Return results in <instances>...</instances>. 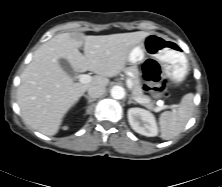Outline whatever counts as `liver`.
Here are the masks:
<instances>
[{"instance_id":"liver-1","label":"liver","mask_w":222,"mask_h":187,"mask_svg":"<svg viewBox=\"0 0 222 187\" xmlns=\"http://www.w3.org/2000/svg\"><path fill=\"white\" fill-rule=\"evenodd\" d=\"M150 33L144 31L92 36L62 33L42 44L21 75L17 103L24 122L48 136L58 133L63 117L89 87L107 86L128 62L130 51ZM84 47V55L79 48ZM74 72L96 73L86 84L73 82L58 60Z\"/></svg>"}]
</instances>
